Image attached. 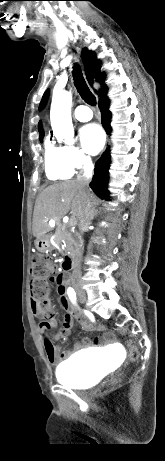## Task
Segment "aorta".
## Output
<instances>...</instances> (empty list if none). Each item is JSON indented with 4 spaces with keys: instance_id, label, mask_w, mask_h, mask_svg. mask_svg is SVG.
<instances>
[{
    "instance_id": "762f6f07",
    "label": "aorta",
    "mask_w": 165,
    "mask_h": 461,
    "mask_svg": "<svg viewBox=\"0 0 165 461\" xmlns=\"http://www.w3.org/2000/svg\"><path fill=\"white\" fill-rule=\"evenodd\" d=\"M72 96L68 91H54L50 120L55 136L66 144L74 143V129L71 119Z\"/></svg>"
}]
</instances>
